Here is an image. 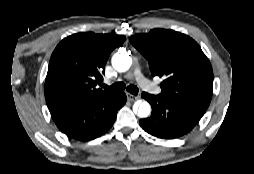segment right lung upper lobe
I'll use <instances>...</instances> for the list:
<instances>
[{
  "mask_svg": "<svg viewBox=\"0 0 254 174\" xmlns=\"http://www.w3.org/2000/svg\"><path fill=\"white\" fill-rule=\"evenodd\" d=\"M125 41L123 35L77 33L63 39L50 58L45 80L49 111L75 99L113 96L96 87L110 53Z\"/></svg>",
  "mask_w": 254,
  "mask_h": 174,
  "instance_id": "1",
  "label": "right lung upper lobe"
}]
</instances>
